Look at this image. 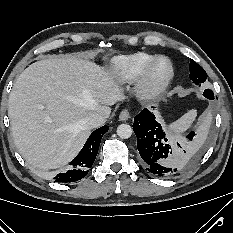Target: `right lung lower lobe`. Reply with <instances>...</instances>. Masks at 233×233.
Segmentation results:
<instances>
[{
  "label": "right lung lower lobe",
  "mask_w": 233,
  "mask_h": 233,
  "mask_svg": "<svg viewBox=\"0 0 233 233\" xmlns=\"http://www.w3.org/2000/svg\"><path fill=\"white\" fill-rule=\"evenodd\" d=\"M108 129L109 127L105 125L95 130L79 154L70 162L68 170L55 177V182H75L85 177L95 161L101 138Z\"/></svg>",
  "instance_id": "obj_1"
}]
</instances>
